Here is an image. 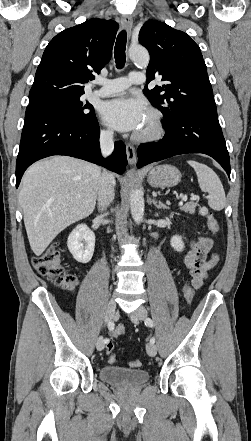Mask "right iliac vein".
<instances>
[{
  "instance_id": "right-iliac-vein-1",
  "label": "right iliac vein",
  "mask_w": 251,
  "mask_h": 441,
  "mask_svg": "<svg viewBox=\"0 0 251 441\" xmlns=\"http://www.w3.org/2000/svg\"><path fill=\"white\" fill-rule=\"evenodd\" d=\"M115 311H116V302L114 301V299H111V300H109V302L106 306L105 323H109L110 321H112V319L114 318V315H115ZM104 347H105L104 339L102 336H100L97 339L96 348L98 351H101L104 349Z\"/></svg>"
}]
</instances>
